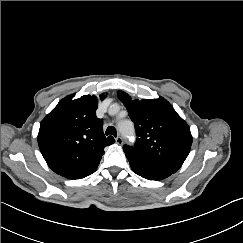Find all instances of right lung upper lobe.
Returning a JSON list of instances; mask_svg holds the SVG:
<instances>
[{
    "instance_id": "cb5924a9",
    "label": "right lung upper lobe",
    "mask_w": 243,
    "mask_h": 243,
    "mask_svg": "<svg viewBox=\"0 0 243 243\" xmlns=\"http://www.w3.org/2000/svg\"><path fill=\"white\" fill-rule=\"evenodd\" d=\"M74 95L62 99L43 119L38 133L40 151L57 174L76 179L95 170L104 148L115 142L105 137L102 119L96 117V96ZM104 99V95H100Z\"/></svg>"
}]
</instances>
